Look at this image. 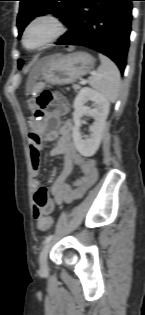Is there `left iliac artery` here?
<instances>
[{
    "instance_id": "left-iliac-artery-1",
    "label": "left iliac artery",
    "mask_w": 145,
    "mask_h": 315,
    "mask_svg": "<svg viewBox=\"0 0 145 315\" xmlns=\"http://www.w3.org/2000/svg\"><path fill=\"white\" fill-rule=\"evenodd\" d=\"M52 238H53V235H48V236L45 238V240H44V244L50 242V241L52 240Z\"/></svg>"
}]
</instances>
